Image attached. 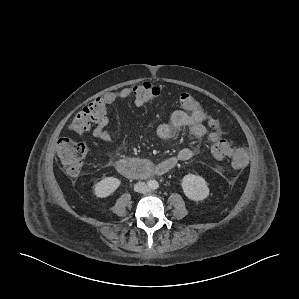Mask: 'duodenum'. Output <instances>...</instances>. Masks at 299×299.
<instances>
[{
  "instance_id": "410a0bca",
  "label": "duodenum",
  "mask_w": 299,
  "mask_h": 299,
  "mask_svg": "<svg viewBox=\"0 0 299 299\" xmlns=\"http://www.w3.org/2000/svg\"><path fill=\"white\" fill-rule=\"evenodd\" d=\"M120 174L131 178H147L157 174L153 164L145 159L128 158L121 159L116 163Z\"/></svg>"
}]
</instances>
